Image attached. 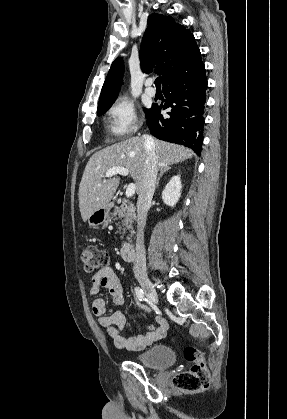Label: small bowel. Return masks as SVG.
Returning <instances> with one entry per match:
<instances>
[{
  "mask_svg": "<svg viewBox=\"0 0 287 419\" xmlns=\"http://www.w3.org/2000/svg\"><path fill=\"white\" fill-rule=\"evenodd\" d=\"M101 289L109 292L116 305L123 303L121 281L110 266L97 271L91 279L90 294L96 296ZM92 312L98 318L100 325L105 328L114 346L118 349L142 351L152 343L163 338L168 331L167 321L163 317L158 316L149 325L146 333L132 338H125L122 335V330L125 326L126 318L122 312L117 311L111 315H106V302L101 298L93 300Z\"/></svg>",
  "mask_w": 287,
  "mask_h": 419,
  "instance_id": "c3829d8e",
  "label": "small bowel"
}]
</instances>
